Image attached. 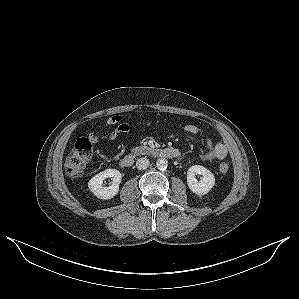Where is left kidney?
Returning <instances> with one entry per match:
<instances>
[{"label":"left kidney","instance_id":"1","mask_svg":"<svg viewBox=\"0 0 299 299\" xmlns=\"http://www.w3.org/2000/svg\"><path fill=\"white\" fill-rule=\"evenodd\" d=\"M202 175L200 181L196 175ZM187 185L189 189L197 195L207 194L215 185V177L211 171L200 165L191 166L187 171Z\"/></svg>","mask_w":299,"mask_h":299}]
</instances>
